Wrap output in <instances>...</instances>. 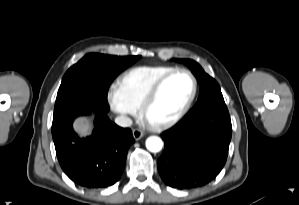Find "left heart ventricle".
I'll return each mask as SVG.
<instances>
[{
	"label": "left heart ventricle",
	"instance_id": "obj_1",
	"mask_svg": "<svg viewBox=\"0 0 299 205\" xmlns=\"http://www.w3.org/2000/svg\"><path fill=\"white\" fill-rule=\"evenodd\" d=\"M192 91L191 78L185 73L171 77L162 87L147 118L151 122L173 116L187 101Z\"/></svg>",
	"mask_w": 299,
	"mask_h": 205
}]
</instances>
